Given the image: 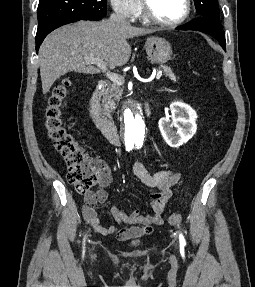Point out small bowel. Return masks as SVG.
<instances>
[{"label":"small bowel","instance_id":"c3829d8e","mask_svg":"<svg viewBox=\"0 0 255 287\" xmlns=\"http://www.w3.org/2000/svg\"><path fill=\"white\" fill-rule=\"evenodd\" d=\"M132 170L143 185L156 189L155 192L150 194L152 213L144 215L136 209L124 211L114 208L112 210L114 219L127 227L117 229L112 225H103L97 216L96 206L107 199L108 195L105 187L111 181L109 170L103 167L100 187L96 191L88 193L84 197L82 205L83 218L95 232L104 236L115 234L119 239L125 240L151 234L155 226L162 224L164 208L172 196L173 187L180 180V174L172 170H160L152 173L139 160L134 162Z\"/></svg>","mask_w":255,"mask_h":287}]
</instances>
